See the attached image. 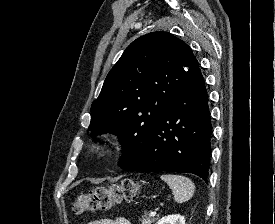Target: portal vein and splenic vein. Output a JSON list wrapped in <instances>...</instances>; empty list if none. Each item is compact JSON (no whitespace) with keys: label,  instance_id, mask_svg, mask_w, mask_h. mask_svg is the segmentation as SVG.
<instances>
[{"label":"portal vein and splenic vein","instance_id":"obj_1","mask_svg":"<svg viewBox=\"0 0 275 224\" xmlns=\"http://www.w3.org/2000/svg\"><path fill=\"white\" fill-rule=\"evenodd\" d=\"M156 215V211H152L151 213H150V216L151 217H154Z\"/></svg>","mask_w":275,"mask_h":224}]
</instances>
